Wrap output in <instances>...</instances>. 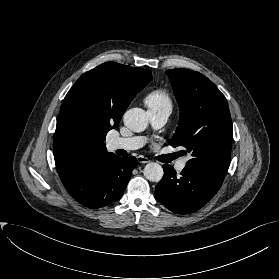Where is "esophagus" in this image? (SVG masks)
<instances>
[{"label":"esophagus","instance_id":"esophagus-1","mask_svg":"<svg viewBox=\"0 0 279 279\" xmlns=\"http://www.w3.org/2000/svg\"><path fill=\"white\" fill-rule=\"evenodd\" d=\"M137 160H138L139 163H142V164L150 162L149 159L144 157V156H138Z\"/></svg>","mask_w":279,"mask_h":279}]
</instances>
